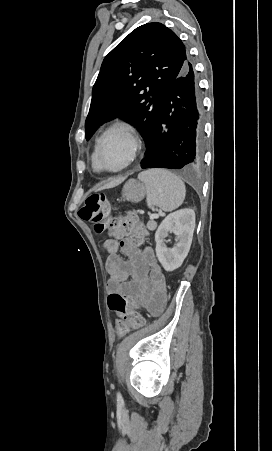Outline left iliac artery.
Returning <instances> with one entry per match:
<instances>
[{"instance_id":"obj_1","label":"left iliac artery","mask_w":272,"mask_h":451,"mask_svg":"<svg viewBox=\"0 0 272 451\" xmlns=\"http://www.w3.org/2000/svg\"><path fill=\"white\" fill-rule=\"evenodd\" d=\"M117 400H122V396L119 392L117 393Z\"/></svg>"}]
</instances>
